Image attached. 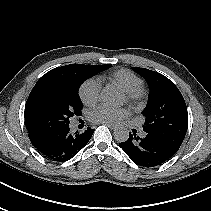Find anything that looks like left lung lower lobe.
Instances as JSON below:
<instances>
[{
    "mask_svg": "<svg viewBox=\"0 0 211 211\" xmlns=\"http://www.w3.org/2000/svg\"><path fill=\"white\" fill-rule=\"evenodd\" d=\"M120 147L134 163L143 167L158 166L177 152L165 142L149 134L139 138L134 133H130L129 138L120 143Z\"/></svg>",
    "mask_w": 211,
    "mask_h": 211,
    "instance_id": "obj_1",
    "label": "left lung lower lobe"
}]
</instances>
